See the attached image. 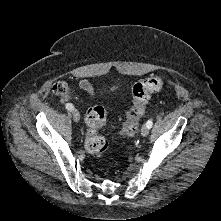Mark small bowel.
<instances>
[{
    "instance_id": "obj_1",
    "label": "small bowel",
    "mask_w": 221,
    "mask_h": 221,
    "mask_svg": "<svg viewBox=\"0 0 221 221\" xmlns=\"http://www.w3.org/2000/svg\"><path fill=\"white\" fill-rule=\"evenodd\" d=\"M80 86L82 89H84L89 95H94V89L92 87V85L86 81V80H82L80 81Z\"/></svg>"
}]
</instances>
